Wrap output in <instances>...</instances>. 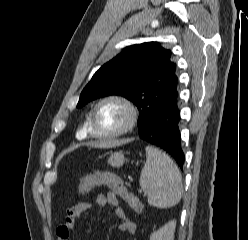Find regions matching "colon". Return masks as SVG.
Here are the masks:
<instances>
[{
    "label": "colon",
    "mask_w": 248,
    "mask_h": 240,
    "mask_svg": "<svg viewBox=\"0 0 248 240\" xmlns=\"http://www.w3.org/2000/svg\"><path fill=\"white\" fill-rule=\"evenodd\" d=\"M99 185L110 187L135 212L140 213L142 211L143 207L139 199L125 187L117 176L110 172H95L85 176L80 182L79 190L84 195Z\"/></svg>",
    "instance_id": "colon-1"
}]
</instances>
